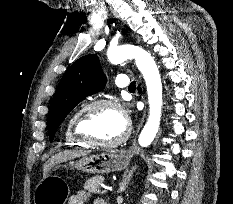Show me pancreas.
<instances>
[{"label": "pancreas", "mask_w": 233, "mask_h": 204, "mask_svg": "<svg viewBox=\"0 0 233 204\" xmlns=\"http://www.w3.org/2000/svg\"><path fill=\"white\" fill-rule=\"evenodd\" d=\"M102 182H104V177L99 175L94 176L90 178L88 181H86L84 185V189L90 193H100L101 192L100 184Z\"/></svg>", "instance_id": "obj_1"}]
</instances>
